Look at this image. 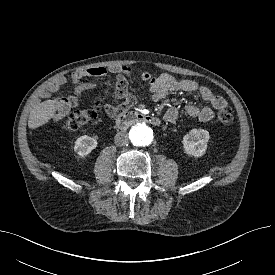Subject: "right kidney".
I'll return each mask as SVG.
<instances>
[{
	"label": "right kidney",
	"instance_id": "obj_1",
	"mask_svg": "<svg viewBox=\"0 0 275 275\" xmlns=\"http://www.w3.org/2000/svg\"><path fill=\"white\" fill-rule=\"evenodd\" d=\"M97 144L95 138L84 135L75 141L74 150L79 156L84 157L90 154L97 147Z\"/></svg>",
	"mask_w": 275,
	"mask_h": 275
}]
</instances>
